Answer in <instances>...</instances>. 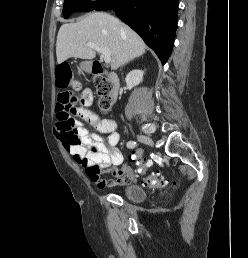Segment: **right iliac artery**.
<instances>
[{
    "mask_svg": "<svg viewBox=\"0 0 248 258\" xmlns=\"http://www.w3.org/2000/svg\"><path fill=\"white\" fill-rule=\"evenodd\" d=\"M137 146V143L135 142V141H129L128 143H127V147L128 148H134V147H136Z\"/></svg>",
    "mask_w": 248,
    "mask_h": 258,
    "instance_id": "82829eb1",
    "label": "right iliac artery"
}]
</instances>
